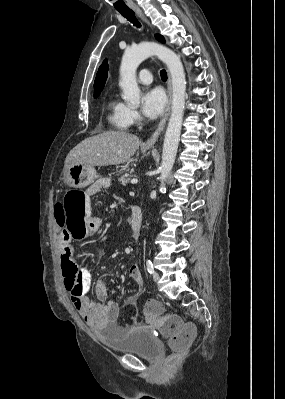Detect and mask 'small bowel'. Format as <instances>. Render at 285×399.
<instances>
[{"mask_svg": "<svg viewBox=\"0 0 285 399\" xmlns=\"http://www.w3.org/2000/svg\"><path fill=\"white\" fill-rule=\"evenodd\" d=\"M106 185L104 183H95L91 186L88 192L83 196L87 205V213L89 215L90 221L92 223V232H97L102 224V218L97 214H92L91 212V197L98 192H100ZM54 213L58 217H62V208L60 205L55 206ZM60 236H59V247L60 256L65 254L72 255V249L68 247V241L70 239L69 232L60 225ZM79 277L83 281V289L80 296V301L75 302L74 306L79 312V314L84 318V320L90 326L104 327L109 324L117 323L120 317L119 305L111 300L110 290L108 285L104 281H98L95 285V295L98 299V303H94L89 299L87 290L89 287L91 274L88 269L81 268L78 272ZM129 276L134 281V283L142 287L144 285V278L137 266H132L129 270ZM140 294L132 296L126 301V304L134 303ZM150 325H155L156 322L153 319H148L147 321ZM133 326H141L140 323L134 319Z\"/></svg>", "mask_w": 285, "mask_h": 399, "instance_id": "small-bowel-1", "label": "small bowel"}]
</instances>
